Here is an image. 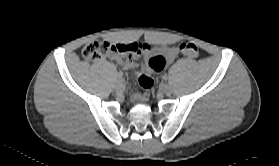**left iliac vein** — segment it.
<instances>
[{"label":"left iliac vein","instance_id":"1","mask_svg":"<svg viewBox=\"0 0 279 166\" xmlns=\"http://www.w3.org/2000/svg\"><path fill=\"white\" fill-rule=\"evenodd\" d=\"M160 91L165 95H170L172 93V89L168 84L161 85Z\"/></svg>","mask_w":279,"mask_h":166}]
</instances>
